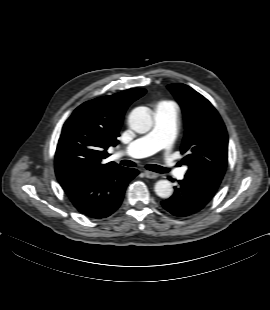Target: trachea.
<instances>
[{
  "label": "trachea",
  "mask_w": 270,
  "mask_h": 310,
  "mask_svg": "<svg viewBox=\"0 0 270 310\" xmlns=\"http://www.w3.org/2000/svg\"><path fill=\"white\" fill-rule=\"evenodd\" d=\"M120 164L127 166V167H135L136 164L130 160H122L120 162ZM146 169L153 171V172H157V173H167L169 172L168 168L159 166V165H147Z\"/></svg>",
  "instance_id": "3493384b"
}]
</instances>
